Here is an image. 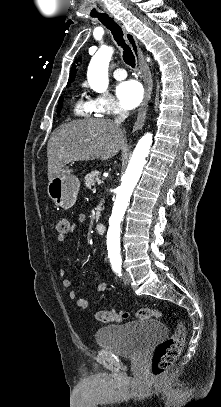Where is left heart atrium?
Here are the masks:
<instances>
[{
  "mask_svg": "<svg viewBox=\"0 0 221 407\" xmlns=\"http://www.w3.org/2000/svg\"><path fill=\"white\" fill-rule=\"evenodd\" d=\"M116 94L126 108L132 109L142 101L144 89L138 81L129 79L117 86Z\"/></svg>",
  "mask_w": 221,
  "mask_h": 407,
  "instance_id": "obj_1",
  "label": "left heart atrium"
}]
</instances>
